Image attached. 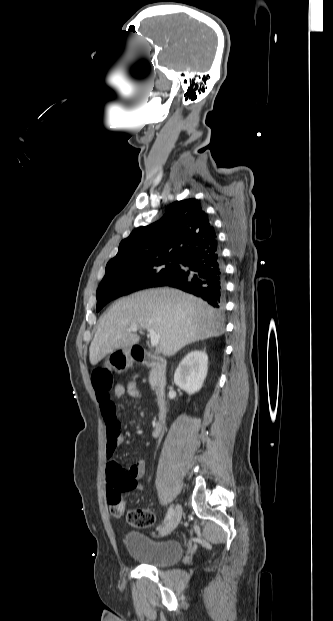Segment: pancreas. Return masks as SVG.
I'll return each mask as SVG.
<instances>
[{"mask_svg": "<svg viewBox=\"0 0 333 621\" xmlns=\"http://www.w3.org/2000/svg\"><path fill=\"white\" fill-rule=\"evenodd\" d=\"M156 378H157L156 372L155 371L150 372L149 383L152 388H155L156 386Z\"/></svg>", "mask_w": 333, "mask_h": 621, "instance_id": "cf45deb5", "label": "pancreas"}]
</instances>
